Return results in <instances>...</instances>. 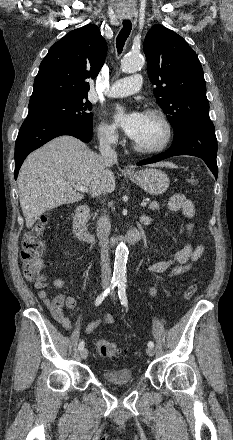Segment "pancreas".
<instances>
[{
    "label": "pancreas",
    "instance_id": "1",
    "mask_svg": "<svg viewBox=\"0 0 233 440\" xmlns=\"http://www.w3.org/2000/svg\"><path fill=\"white\" fill-rule=\"evenodd\" d=\"M148 208L153 210V211L160 210V205H159V203L157 201H153V202L150 203Z\"/></svg>",
    "mask_w": 233,
    "mask_h": 440
}]
</instances>
